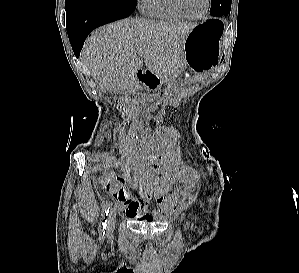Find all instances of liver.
Masks as SVG:
<instances>
[{"instance_id":"liver-1","label":"liver","mask_w":299,"mask_h":273,"mask_svg":"<svg viewBox=\"0 0 299 273\" xmlns=\"http://www.w3.org/2000/svg\"><path fill=\"white\" fill-rule=\"evenodd\" d=\"M198 23L124 19L96 29L87 38L82 59L93 78L114 93L138 87L145 65L161 79L175 78L186 67L185 40Z\"/></svg>"}]
</instances>
